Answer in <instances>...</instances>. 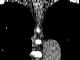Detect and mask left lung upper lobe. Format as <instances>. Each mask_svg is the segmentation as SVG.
<instances>
[{
  "instance_id": "left-lung-upper-lobe-1",
  "label": "left lung upper lobe",
  "mask_w": 80,
  "mask_h": 60,
  "mask_svg": "<svg viewBox=\"0 0 80 60\" xmlns=\"http://www.w3.org/2000/svg\"><path fill=\"white\" fill-rule=\"evenodd\" d=\"M78 12L80 14L73 3L59 1L52 5L45 16L44 36L58 40L62 55L80 46V35L74 27V17Z\"/></svg>"
}]
</instances>
